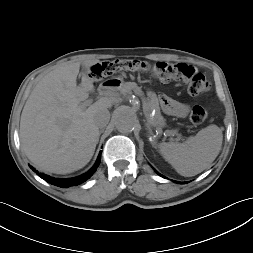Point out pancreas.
Here are the masks:
<instances>
[{"instance_id":"obj_1","label":"pancreas","mask_w":253,"mask_h":253,"mask_svg":"<svg viewBox=\"0 0 253 253\" xmlns=\"http://www.w3.org/2000/svg\"><path fill=\"white\" fill-rule=\"evenodd\" d=\"M134 90L138 92L144 99V101L148 104L149 112L152 110H156V115L154 117V121L158 126H164L165 122L163 117L160 114L159 101L156 94L152 91L147 92V98L143 97V93L141 92V88L136 85L134 82H126L120 89V95L126 96Z\"/></svg>"}]
</instances>
